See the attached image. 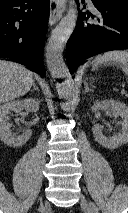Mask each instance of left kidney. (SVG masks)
<instances>
[{
  "label": "left kidney",
  "instance_id": "left-kidney-1",
  "mask_svg": "<svg viewBox=\"0 0 128 213\" xmlns=\"http://www.w3.org/2000/svg\"><path fill=\"white\" fill-rule=\"evenodd\" d=\"M91 110L96 112L98 110H109L114 117L120 116L121 132L114 134L112 137H106L102 133V126L96 124L92 128L95 140L107 149H116L119 146L128 143V106L119 101L105 100L95 103Z\"/></svg>",
  "mask_w": 128,
  "mask_h": 213
}]
</instances>
